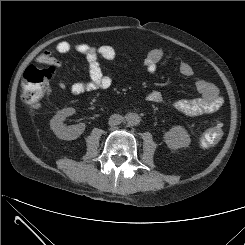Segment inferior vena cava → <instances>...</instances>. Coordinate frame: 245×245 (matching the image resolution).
<instances>
[{
  "mask_svg": "<svg viewBox=\"0 0 245 245\" xmlns=\"http://www.w3.org/2000/svg\"><path fill=\"white\" fill-rule=\"evenodd\" d=\"M123 119L124 118L121 115L113 114L110 116L108 124L110 126H116V125L121 124L123 122Z\"/></svg>",
  "mask_w": 245,
  "mask_h": 245,
  "instance_id": "obj_1",
  "label": "inferior vena cava"
}]
</instances>
